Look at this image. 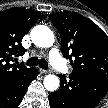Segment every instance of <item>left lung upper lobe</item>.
Here are the masks:
<instances>
[{"label":"left lung upper lobe","mask_w":108,"mask_h":108,"mask_svg":"<svg viewBox=\"0 0 108 108\" xmlns=\"http://www.w3.org/2000/svg\"><path fill=\"white\" fill-rule=\"evenodd\" d=\"M61 36L62 53L70 58L74 75L108 80V37L92 21L76 12L51 14Z\"/></svg>","instance_id":"5c2ea615"}]
</instances>
